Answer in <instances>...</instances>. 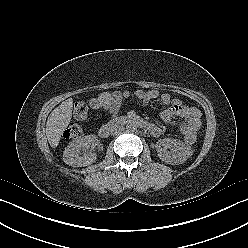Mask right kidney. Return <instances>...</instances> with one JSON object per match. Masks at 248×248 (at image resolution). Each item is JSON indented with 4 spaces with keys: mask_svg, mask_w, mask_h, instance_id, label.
I'll return each mask as SVG.
<instances>
[{
    "mask_svg": "<svg viewBox=\"0 0 248 248\" xmlns=\"http://www.w3.org/2000/svg\"><path fill=\"white\" fill-rule=\"evenodd\" d=\"M97 138L95 135H87L70 142L63 153L64 162L73 167H82L96 161L97 155L93 152L81 155V148H94Z\"/></svg>",
    "mask_w": 248,
    "mask_h": 248,
    "instance_id": "1",
    "label": "right kidney"
}]
</instances>
